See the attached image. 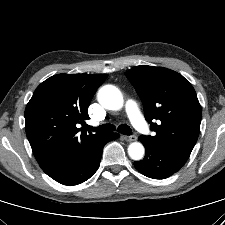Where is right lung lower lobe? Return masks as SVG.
<instances>
[{
    "instance_id": "1",
    "label": "right lung lower lobe",
    "mask_w": 225,
    "mask_h": 225,
    "mask_svg": "<svg viewBox=\"0 0 225 225\" xmlns=\"http://www.w3.org/2000/svg\"><path fill=\"white\" fill-rule=\"evenodd\" d=\"M119 136L118 133L103 134L88 146L61 153L42 170L64 185L73 186L83 183L97 171L104 145Z\"/></svg>"
}]
</instances>
